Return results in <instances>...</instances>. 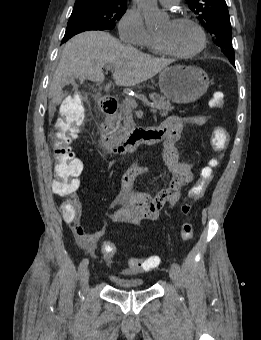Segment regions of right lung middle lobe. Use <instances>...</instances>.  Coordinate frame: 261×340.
I'll return each mask as SVG.
<instances>
[{
  "label": "right lung middle lobe",
  "instance_id": "right-lung-middle-lobe-1",
  "mask_svg": "<svg viewBox=\"0 0 261 340\" xmlns=\"http://www.w3.org/2000/svg\"><path fill=\"white\" fill-rule=\"evenodd\" d=\"M126 12V3L80 2L75 3L68 25L86 23L100 30L113 29L115 22Z\"/></svg>",
  "mask_w": 261,
  "mask_h": 340
}]
</instances>
